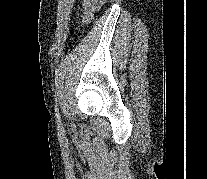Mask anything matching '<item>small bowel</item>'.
I'll return each mask as SVG.
<instances>
[{"instance_id": "obj_1", "label": "small bowel", "mask_w": 207, "mask_h": 179, "mask_svg": "<svg viewBox=\"0 0 207 179\" xmlns=\"http://www.w3.org/2000/svg\"><path fill=\"white\" fill-rule=\"evenodd\" d=\"M106 0H83L82 6L84 9L83 20L89 21L90 15L93 11L98 9Z\"/></svg>"}]
</instances>
